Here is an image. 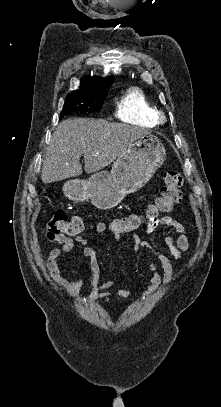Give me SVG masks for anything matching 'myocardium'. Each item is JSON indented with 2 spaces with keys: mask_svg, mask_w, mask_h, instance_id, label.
I'll return each instance as SVG.
<instances>
[{
  "mask_svg": "<svg viewBox=\"0 0 221 407\" xmlns=\"http://www.w3.org/2000/svg\"><path fill=\"white\" fill-rule=\"evenodd\" d=\"M158 118H159V120L162 121V122L166 120V116H165V114H164L163 112H160V113L158 114Z\"/></svg>",
  "mask_w": 221,
  "mask_h": 407,
  "instance_id": "f54148a6",
  "label": "myocardium"
}]
</instances>
